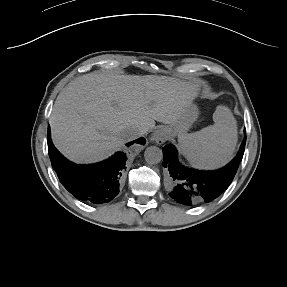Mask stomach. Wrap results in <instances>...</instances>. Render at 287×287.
Instances as JSON below:
<instances>
[{
	"label": "stomach",
	"mask_w": 287,
	"mask_h": 287,
	"mask_svg": "<svg viewBox=\"0 0 287 287\" xmlns=\"http://www.w3.org/2000/svg\"><path fill=\"white\" fill-rule=\"evenodd\" d=\"M198 114V107L191 103L187 107L183 117L178 121L163 127V131L166 133L168 138L186 134L194 121H196Z\"/></svg>",
	"instance_id": "1"
}]
</instances>
